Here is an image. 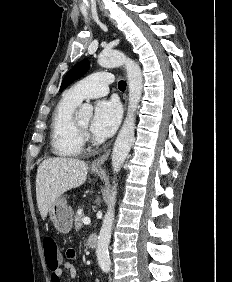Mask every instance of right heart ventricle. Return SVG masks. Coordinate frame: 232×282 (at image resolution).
I'll use <instances>...</instances> for the list:
<instances>
[{
	"label": "right heart ventricle",
	"mask_w": 232,
	"mask_h": 282,
	"mask_svg": "<svg viewBox=\"0 0 232 282\" xmlns=\"http://www.w3.org/2000/svg\"><path fill=\"white\" fill-rule=\"evenodd\" d=\"M79 103L66 92L53 110L50 143L51 150L56 156L72 157L82 151L83 140L73 124L74 111Z\"/></svg>",
	"instance_id": "right-heart-ventricle-1"
}]
</instances>
